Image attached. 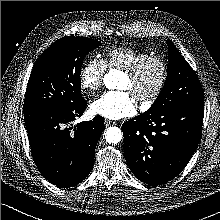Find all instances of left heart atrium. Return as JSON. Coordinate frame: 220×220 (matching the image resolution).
I'll return each instance as SVG.
<instances>
[{"label": "left heart atrium", "instance_id": "left-heart-atrium-1", "mask_svg": "<svg viewBox=\"0 0 220 220\" xmlns=\"http://www.w3.org/2000/svg\"><path fill=\"white\" fill-rule=\"evenodd\" d=\"M90 110L95 115L117 120L133 116L137 104L135 96L129 90L108 91L91 103Z\"/></svg>", "mask_w": 220, "mask_h": 220}]
</instances>
